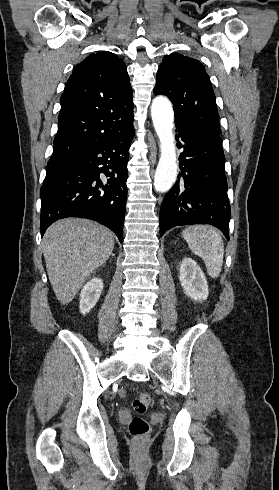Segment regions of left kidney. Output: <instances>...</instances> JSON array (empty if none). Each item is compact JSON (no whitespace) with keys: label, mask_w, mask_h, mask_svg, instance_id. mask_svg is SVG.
Instances as JSON below:
<instances>
[{"label":"left kidney","mask_w":279,"mask_h":490,"mask_svg":"<svg viewBox=\"0 0 279 490\" xmlns=\"http://www.w3.org/2000/svg\"><path fill=\"white\" fill-rule=\"evenodd\" d=\"M179 280L188 298L194 302H204L208 298V284L206 278L192 258H184L180 264Z\"/></svg>","instance_id":"1"}]
</instances>
